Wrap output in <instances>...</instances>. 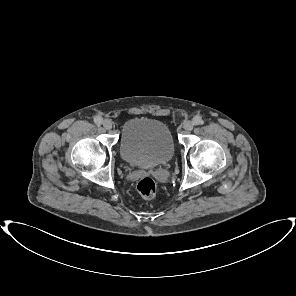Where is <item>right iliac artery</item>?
<instances>
[{
  "label": "right iliac artery",
  "mask_w": 296,
  "mask_h": 296,
  "mask_svg": "<svg viewBox=\"0 0 296 296\" xmlns=\"http://www.w3.org/2000/svg\"><path fill=\"white\" fill-rule=\"evenodd\" d=\"M102 118L100 117V116H96L95 118H94V122L97 124V125H100V124H102Z\"/></svg>",
  "instance_id": "right-iliac-artery-1"
}]
</instances>
